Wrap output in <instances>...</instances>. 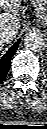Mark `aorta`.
<instances>
[{"instance_id":"762f6f07","label":"aorta","mask_w":47,"mask_h":129,"mask_svg":"<svg viewBox=\"0 0 47 129\" xmlns=\"http://www.w3.org/2000/svg\"><path fill=\"white\" fill-rule=\"evenodd\" d=\"M24 46L31 51L42 50L46 46V38L40 32H29L24 37Z\"/></svg>"}]
</instances>
